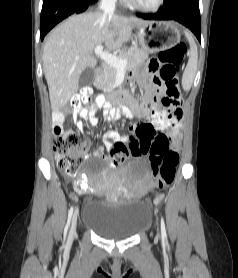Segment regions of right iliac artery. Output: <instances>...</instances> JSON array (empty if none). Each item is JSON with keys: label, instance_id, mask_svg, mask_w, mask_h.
Segmentation results:
<instances>
[{"label": "right iliac artery", "instance_id": "right-iliac-artery-1", "mask_svg": "<svg viewBox=\"0 0 238 278\" xmlns=\"http://www.w3.org/2000/svg\"><path fill=\"white\" fill-rule=\"evenodd\" d=\"M72 214H73V207H71L69 212H68V219H67V224H66V230H68L69 227H70V222H71Z\"/></svg>", "mask_w": 238, "mask_h": 278}]
</instances>
